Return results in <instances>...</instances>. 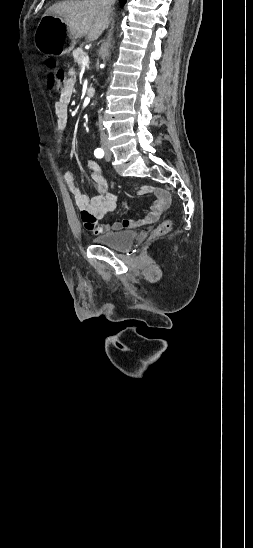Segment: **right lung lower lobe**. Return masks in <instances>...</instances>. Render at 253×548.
I'll return each mask as SVG.
<instances>
[{
	"mask_svg": "<svg viewBox=\"0 0 253 548\" xmlns=\"http://www.w3.org/2000/svg\"><path fill=\"white\" fill-rule=\"evenodd\" d=\"M121 1H122L123 4L126 2V0H121Z\"/></svg>",
	"mask_w": 253,
	"mask_h": 548,
	"instance_id": "1",
	"label": "right lung lower lobe"
}]
</instances>
